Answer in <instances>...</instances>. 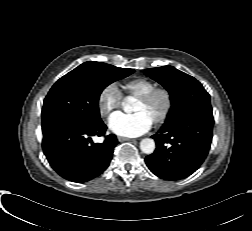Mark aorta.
Returning a JSON list of instances; mask_svg holds the SVG:
<instances>
[{
  "instance_id": "obj_1",
  "label": "aorta",
  "mask_w": 252,
  "mask_h": 231,
  "mask_svg": "<svg viewBox=\"0 0 252 231\" xmlns=\"http://www.w3.org/2000/svg\"><path fill=\"white\" fill-rule=\"evenodd\" d=\"M132 101V97H127L125 102L123 103V109L125 112L131 111L130 102ZM140 149L145 154H152L155 150V142L151 138H144L140 142Z\"/></svg>"
}]
</instances>
